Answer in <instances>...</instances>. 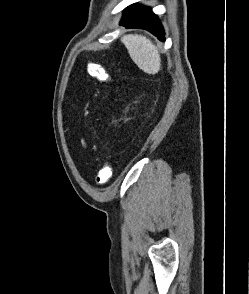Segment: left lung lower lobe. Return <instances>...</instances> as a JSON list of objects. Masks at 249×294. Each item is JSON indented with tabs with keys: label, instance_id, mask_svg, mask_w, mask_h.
Here are the masks:
<instances>
[{
	"label": "left lung lower lobe",
	"instance_id": "1",
	"mask_svg": "<svg viewBox=\"0 0 249 294\" xmlns=\"http://www.w3.org/2000/svg\"><path fill=\"white\" fill-rule=\"evenodd\" d=\"M120 25L126 28H142L150 31L161 41H164V31L156 15L151 9L139 5L126 8Z\"/></svg>",
	"mask_w": 249,
	"mask_h": 294
}]
</instances>
